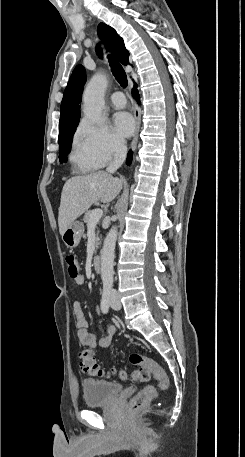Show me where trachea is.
<instances>
[{"label": "trachea", "mask_w": 245, "mask_h": 457, "mask_svg": "<svg viewBox=\"0 0 245 457\" xmlns=\"http://www.w3.org/2000/svg\"><path fill=\"white\" fill-rule=\"evenodd\" d=\"M109 63L111 66V71L116 78L117 82L122 86V87H127L128 82H127V76L126 73L123 69V67L115 60L113 57L109 56Z\"/></svg>", "instance_id": "1"}]
</instances>
